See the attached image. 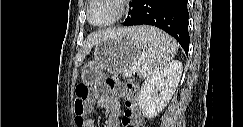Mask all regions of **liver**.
Listing matches in <instances>:
<instances>
[{"label": "liver", "instance_id": "1", "mask_svg": "<svg viewBox=\"0 0 243 127\" xmlns=\"http://www.w3.org/2000/svg\"><path fill=\"white\" fill-rule=\"evenodd\" d=\"M136 29L137 28H119L95 32L88 36L85 43L84 52L88 53L94 45L101 41L114 38L119 35H131Z\"/></svg>", "mask_w": 243, "mask_h": 127}]
</instances>
